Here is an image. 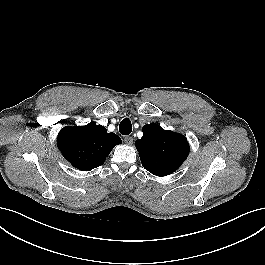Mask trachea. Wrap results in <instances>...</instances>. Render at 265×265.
Here are the masks:
<instances>
[{"label": "trachea", "instance_id": "trachea-1", "mask_svg": "<svg viewBox=\"0 0 265 265\" xmlns=\"http://www.w3.org/2000/svg\"><path fill=\"white\" fill-rule=\"evenodd\" d=\"M119 131L122 135H129L132 132V124L129 118H124L120 122Z\"/></svg>", "mask_w": 265, "mask_h": 265}]
</instances>
